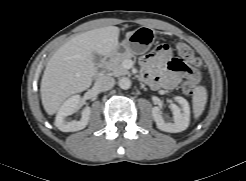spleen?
Returning a JSON list of instances; mask_svg holds the SVG:
<instances>
[{"instance_id": "spleen-1", "label": "spleen", "mask_w": 246, "mask_h": 181, "mask_svg": "<svg viewBox=\"0 0 246 181\" xmlns=\"http://www.w3.org/2000/svg\"><path fill=\"white\" fill-rule=\"evenodd\" d=\"M207 98V90L204 86L195 87L192 96V106L195 118H198L203 113L207 103Z\"/></svg>"}]
</instances>
